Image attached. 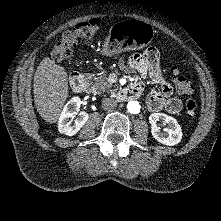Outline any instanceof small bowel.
<instances>
[{"label": "small bowel", "instance_id": "obj_1", "mask_svg": "<svg viewBox=\"0 0 221 221\" xmlns=\"http://www.w3.org/2000/svg\"><path fill=\"white\" fill-rule=\"evenodd\" d=\"M146 52L147 50L142 54H133L128 58H122L119 61V67L126 73L139 72L159 87L158 90H151L148 94L147 105L150 110L165 109L170 114L179 113L182 108L181 100L174 95L161 70ZM176 90L178 91L177 88Z\"/></svg>", "mask_w": 221, "mask_h": 221}]
</instances>
